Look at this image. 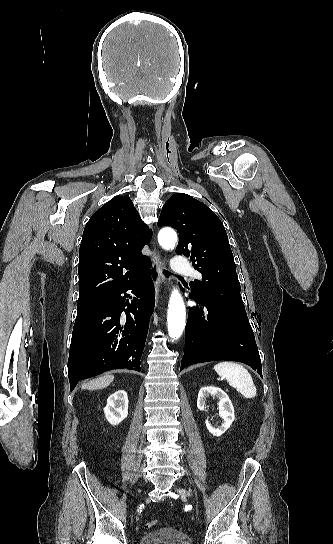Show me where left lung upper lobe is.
I'll return each instance as SVG.
<instances>
[{
	"label": "left lung upper lobe",
	"mask_w": 333,
	"mask_h": 544,
	"mask_svg": "<svg viewBox=\"0 0 333 544\" xmlns=\"http://www.w3.org/2000/svg\"><path fill=\"white\" fill-rule=\"evenodd\" d=\"M158 226H171L179 232L176 253L190 256L202 274L201 281L190 283L191 293L248 321L233 254L219 217L202 202L180 193L165 203Z\"/></svg>",
	"instance_id": "obj_1"
}]
</instances>
